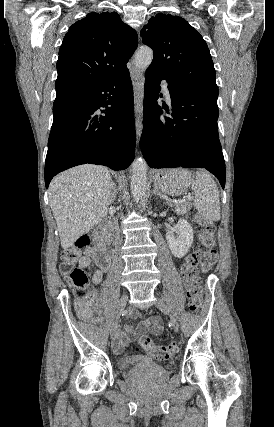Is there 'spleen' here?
Masks as SVG:
<instances>
[{"label":"spleen","instance_id":"3e777b00","mask_svg":"<svg viewBox=\"0 0 274 427\" xmlns=\"http://www.w3.org/2000/svg\"><path fill=\"white\" fill-rule=\"evenodd\" d=\"M196 180L193 186L194 208L206 219H220V202L218 188L208 172H195Z\"/></svg>","mask_w":274,"mask_h":427}]
</instances>
